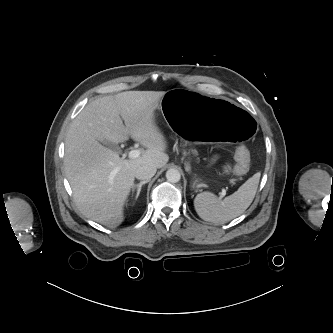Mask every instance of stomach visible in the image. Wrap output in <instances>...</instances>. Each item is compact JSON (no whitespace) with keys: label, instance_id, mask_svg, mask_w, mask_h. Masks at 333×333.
<instances>
[{"label":"stomach","instance_id":"stomach-1","mask_svg":"<svg viewBox=\"0 0 333 333\" xmlns=\"http://www.w3.org/2000/svg\"><path fill=\"white\" fill-rule=\"evenodd\" d=\"M160 110H159V109ZM147 118L155 123L168 122L170 128L188 142L242 144L256 128L254 115L245 107L228 104L218 96L188 87L169 90L159 106H145ZM196 178L193 186H200Z\"/></svg>","mask_w":333,"mask_h":333}]
</instances>
